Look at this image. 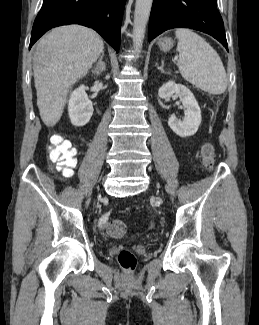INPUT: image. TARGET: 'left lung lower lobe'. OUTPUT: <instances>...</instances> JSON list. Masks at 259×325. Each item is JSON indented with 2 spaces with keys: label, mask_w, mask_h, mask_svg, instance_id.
<instances>
[{
  "label": "left lung lower lobe",
  "mask_w": 259,
  "mask_h": 325,
  "mask_svg": "<svg viewBox=\"0 0 259 325\" xmlns=\"http://www.w3.org/2000/svg\"><path fill=\"white\" fill-rule=\"evenodd\" d=\"M172 28H191L217 39L228 51L217 0H153L148 40Z\"/></svg>",
  "instance_id": "left-lung-lower-lobe-1"
}]
</instances>
